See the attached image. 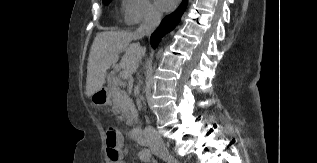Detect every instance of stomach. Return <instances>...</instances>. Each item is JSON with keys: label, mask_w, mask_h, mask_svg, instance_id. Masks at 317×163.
<instances>
[{"label": "stomach", "mask_w": 317, "mask_h": 163, "mask_svg": "<svg viewBox=\"0 0 317 163\" xmlns=\"http://www.w3.org/2000/svg\"><path fill=\"white\" fill-rule=\"evenodd\" d=\"M90 100L92 105L94 106H103L108 103L109 96L104 89H100L99 91L91 95Z\"/></svg>", "instance_id": "0dacf381"}]
</instances>
